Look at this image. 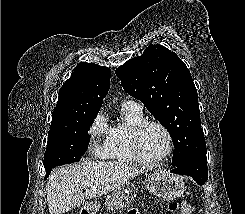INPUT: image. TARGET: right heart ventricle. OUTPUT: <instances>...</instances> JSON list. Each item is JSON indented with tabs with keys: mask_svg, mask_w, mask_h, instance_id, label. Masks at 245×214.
<instances>
[{
	"mask_svg": "<svg viewBox=\"0 0 245 214\" xmlns=\"http://www.w3.org/2000/svg\"><path fill=\"white\" fill-rule=\"evenodd\" d=\"M121 113L124 117V122L110 126L107 157L119 162H137L130 150L128 133L132 125L145 120L144 114L142 108L131 102L122 103Z\"/></svg>",
	"mask_w": 245,
	"mask_h": 214,
	"instance_id": "1",
	"label": "right heart ventricle"
}]
</instances>
